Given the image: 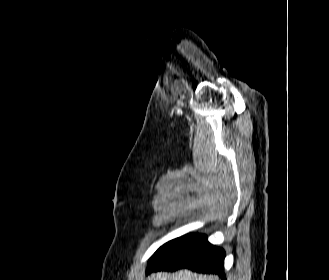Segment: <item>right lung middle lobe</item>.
I'll list each match as a JSON object with an SVG mask.
<instances>
[{
	"label": "right lung middle lobe",
	"instance_id": "dd1d6c3e",
	"mask_svg": "<svg viewBox=\"0 0 329 280\" xmlns=\"http://www.w3.org/2000/svg\"><path fill=\"white\" fill-rule=\"evenodd\" d=\"M175 240L176 239L167 242L153 254V256L149 260L148 270L159 262L163 254L170 248V246L173 244Z\"/></svg>",
	"mask_w": 329,
	"mask_h": 280
}]
</instances>
